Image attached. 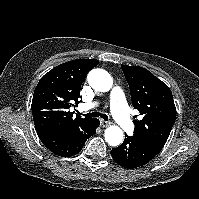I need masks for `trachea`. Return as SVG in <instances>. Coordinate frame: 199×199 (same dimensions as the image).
I'll use <instances>...</instances> for the list:
<instances>
[{"instance_id": "trachea-1", "label": "trachea", "mask_w": 199, "mask_h": 199, "mask_svg": "<svg viewBox=\"0 0 199 199\" xmlns=\"http://www.w3.org/2000/svg\"><path fill=\"white\" fill-rule=\"evenodd\" d=\"M85 117L91 118V117H101L104 120H108V116L106 114L100 113V112H92L87 114H82Z\"/></svg>"}]
</instances>
